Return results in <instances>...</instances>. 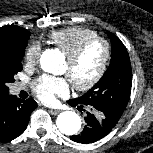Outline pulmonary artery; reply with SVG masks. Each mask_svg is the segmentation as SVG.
Segmentation results:
<instances>
[{
    "label": "pulmonary artery",
    "mask_w": 153,
    "mask_h": 153,
    "mask_svg": "<svg viewBox=\"0 0 153 153\" xmlns=\"http://www.w3.org/2000/svg\"><path fill=\"white\" fill-rule=\"evenodd\" d=\"M23 88H24L23 85H21V84H16V85L14 86L13 90H14V92L17 93V92L21 91Z\"/></svg>",
    "instance_id": "obj_1"
}]
</instances>
